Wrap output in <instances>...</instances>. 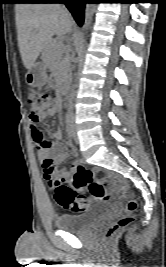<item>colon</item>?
Masks as SVG:
<instances>
[{"instance_id": "5ec220e1", "label": "colon", "mask_w": 166, "mask_h": 267, "mask_svg": "<svg viewBox=\"0 0 166 267\" xmlns=\"http://www.w3.org/2000/svg\"><path fill=\"white\" fill-rule=\"evenodd\" d=\"M28 102L31 107L30 117L34 120H38L39 117L50 109L53 105L51 97L47 94L32 91L28 95ZM36 138L40 144H43L44 135L41 131H38ZM54 167L50 162L44 164V171L47 173H53ZM120 179L116 176L106 175L103 179H95L92 170L85 168L82 165H77L75 168V175L72 181L73 187H69L61 182V180H55V200L59 206L70 209L73 212L80 213L88 209L90 205L89 198L79 195L77 190L85 187H89L91 194L97 198L102 199L103 196H109L106 189L107 184L116 186L120 183ZM127 189L122 188V193L126 194ZM137 208V202L134 199H130L126 206V212L121 215L116 221L111 223L105 230V237H113L120 229L124 228L132 222V213Z\"/></svg>"}]
</instances>
